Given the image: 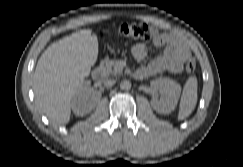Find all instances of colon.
<instances>
[{
  "mask_svg": "<svg viewBox=\"0 0 243 167\" xmlns=\"http://www.w3.org/2000/svg\"><path fill=\"white\" fill-rule=\"evenodd\" d=\"M156 32L153 28L143 23L123 24L119 29V33L129 39H140L149 41L154 39ZM196 68V63L193 58H188L185 62V72L192 74Z\"/></svg>",
  "mask_w": 243,
  "mask_h": 167,
  "instance_id": "5ec220e1",
  "label": "colon"
}]
</instances>
